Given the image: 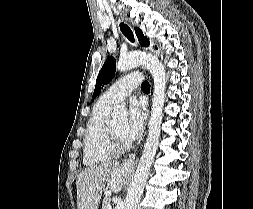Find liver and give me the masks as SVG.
<instances>
[{"mask_svg": "<svg viewBox=\"0 0 253 209\" xmlns=\"http://www.w3.org/2000/svg\"><path fill=\"white\" fill-rule=\"evenodd\" d=\"M128 177V170L119 166L118 162H105L90 166L78 174L77 208L98 209L104 184L109 189L119 191L123 188Z\"/></svg>", "mask_w": 253, "mask_h": 209, "instance_id": "liver-1", "label": "liver"}]
</instances>
